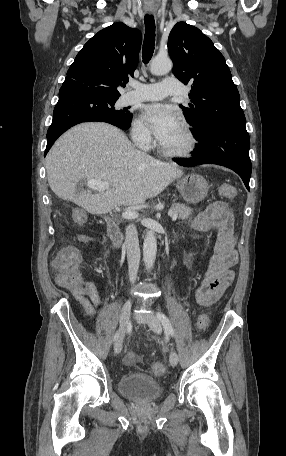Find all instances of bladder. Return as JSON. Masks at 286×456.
I'll return each instance as SVG.
<instances>
[{
  "label": "bladder",
  "instance_id": "obj_1",
  "mask_svg": "<svg viewBox=\"0 0 286 456\" xmlns=\"http://www.w3.org/2000/svg\"><path fill=\"white\" fill-rule=\"evenodd\" d=\"M119 393L135 402L150 403L157 400L163 393L162 385L152 377L143 373H127L120 377Z\"/></svg>",
  "mask_w": 286,
  "mask_h": 456
}]
</instances>
